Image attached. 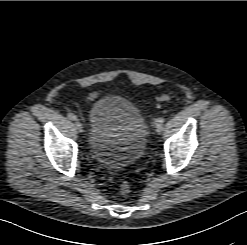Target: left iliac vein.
<instances>
[{
  "label": "left iliac vein",
  "mask_w": 247,
  "mask_h": 245,
  "mask_svg": "<svg viewBox=\"0 0 247 245\" xmlns=\"http://www.w3.org/2000/svg\"><path fill=\"white\" fill-rule=\"evenodd\" d=\"M155 125H156V132L161 133L163 130V125L160 123H155Z\"/></svg>",
  "instance_id": "obj_1"
}]
</instances>
